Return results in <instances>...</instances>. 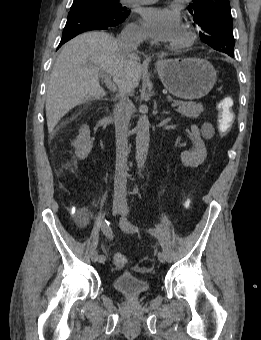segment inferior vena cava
I'll list each match as a JSON object with an SVG mask.
<instances>
[{
	"mask_svg": "<svg viewBox=\"0 0 261 340\" xmlns=\"http://www.w3.org/2000/svg\"><path fill=\"white\" fill-rule=\"evenodd\" d=\"M143 35L135 29H124L117 36V43L123 52H133L143 41ZM119 102L114 108V122L116 133V170L114 178V199L126 198L127 183V155H128V127L132 102L129 99V90L125 87L119 89Z\"/></svg>",
	"mask_w": 261,
	"mask_h": 340,
	"instance_id": "obj_1",
	"label": "inferior vena cava"
}]
</instances>
